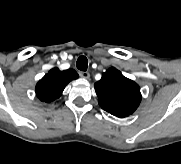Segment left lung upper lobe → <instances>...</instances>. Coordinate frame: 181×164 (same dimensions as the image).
<instances>
[{
    "instance_id": "obj_1",
    "label": "left lung upper lobe",
    "mask_w": 181,
    "mask_h": 164,
    "mask_svg": "<svg viewBox=\"0 0 181 164\" xmlns=\"http://www.w3.org/2000/svg\"><path fill=\"white\" fill-rule=\"evenodd\" d=\"M94 87L99 105L116 117L129 116L140 104L141 93L138 84L124 77L114 67L104 72Z\"/></svg>"
}]
</instances>
